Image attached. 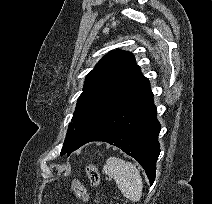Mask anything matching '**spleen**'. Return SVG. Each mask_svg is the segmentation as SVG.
Segmentation results:
<instances>
[{"label":"spleen","instance_id":"spleen-1","mask_svg":"<svg viewBox=\"0 0 212 204\" xmlns=\"http://www.w3.org/2000/svg\"><path fill=\"white\" fill-rule=\"evenodd\" d=\"M102 171L115 179L118 188L127 199L133 202L140 201L143 182L135 165L122 158L109 157Z\"/></svg>","mask_w":212,"mask_h":204}]
</instances>
